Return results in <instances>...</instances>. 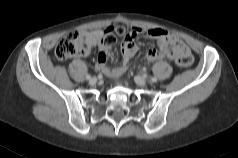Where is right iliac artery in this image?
I'll return each instance as SVG.
<instances>
[{
  "label": "right iliac artery",
  "instance_id": "1",
  "mask_svg": "<svg viewBox=\"0 0 238 158\" xmlns=\"http://www.w3.org/2000/svg\"><path fill=\"white\" fill-rule=\"evenodd\" d=\"M91 76L89 74L86 75V79H90Z\"/></svg>",
  "mask_w": 238,
  "mask_h": 158
}]
</instances>
